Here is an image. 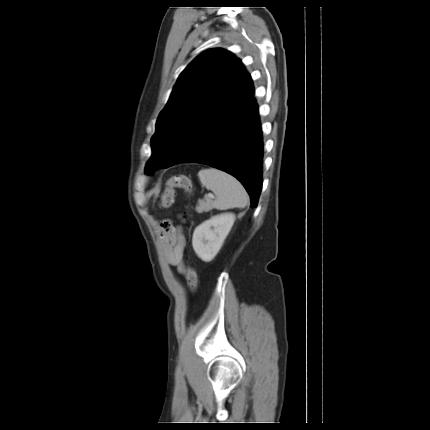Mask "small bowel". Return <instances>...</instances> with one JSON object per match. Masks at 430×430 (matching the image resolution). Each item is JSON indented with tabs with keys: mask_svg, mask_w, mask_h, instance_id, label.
Segmentation results:
<instances>
[{
	"mask_svg": "<svg viewBox=\"0 0 430 430\" xmlns=\"http://www.w3.org/2000/svg\"><path fill=\"white\" fill-rule=\"evenodd\" d=\"M161 240L167 262L177 267L180 273H183L185 239L180 232V228L170 221L163 222L161 225Z\"/></svg>",
	"mask_w": 430,
	"mask_h": 430,
	"instance_id": "c3829d8e",
	"label": "small bowel"
}]
</instances>
